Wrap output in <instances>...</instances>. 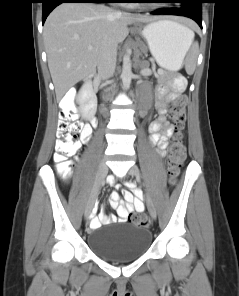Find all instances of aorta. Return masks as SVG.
<instances>
[{
    "label": "aorta",
    "instance_id": "aorta-1",
    "mask_svg": "<svg viewBox=\"0 0 239 296\" xmlns=\"http://www.w3.org/2000/svg\"><path fill=\"white\" fill-rule=\"evenodd\" d=\"M122 83L125 89L130 87L131 79H132V69H131V60L129 55H125L123 57V66H122Z\"/></svg>",
    "mask_w": 239,
    "mask_h": 296
}]
</instances>
